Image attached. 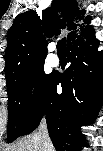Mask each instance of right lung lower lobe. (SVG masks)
<instances>
[{
	"mask_svg": "<svg viewBox=\"0 0 103 151\" xmlns=\"http://www.w3.org/2000/svg\"><path fill=\"white\" fill-rule=\"evenodd\" d=\"M93 28L67 45L71 65L63 74L55 73L41 107L26 131H34L42 118L57 151H79L84 144L80 127L94 121L102 104L103 56L98 52ZM61 83L62 93H57Z\"/></svg>",
	"mask_w": 103,
	"mask_h": 151,
	"instance_id": "right-lung-lower-lobe-1",
	"label": "right lung lower lobe"
}]
</instances>
